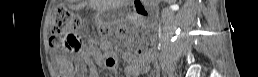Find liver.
Segmentation results:
<instances>
[{"label": "liver", "instance_id": "1", "mask_svg": "<svg viewBox=\"0 0 258 77\" xmlns=\"http://www.w3.org/2000/svg\"><path fill=\"white\" fill-rule=\"evenodd\" d=\"M122 2L123 0H89V5L93 9L104 11L108 8L118 6Z\"/></svg>", "mask_w": 258, "mask_h": 77}]
</instances>
